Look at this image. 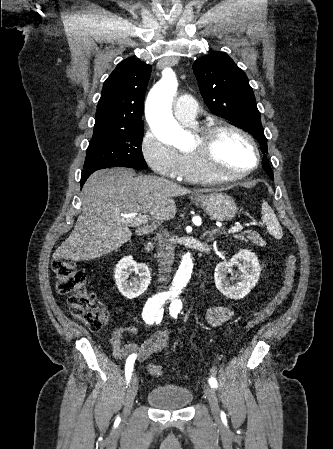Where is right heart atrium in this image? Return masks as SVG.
<instances>
[{
  "instance_id": "d8ad5b80",
  "label": "right heart atrium",
  "mask_w": 333,
  "mask_h": 449,
  "mask_svg": "<svg viewBox=\"0 0 333 449\" xmlns=\"http://www.w3.org/2000/svg\"><path fill=\"white\" fill-rule=\"evenodd\" d=\"M143 159L159 176L179 178L181 156L174 148L160 140L151 131H147L140 144Z\"/></svg>"
}]
</instances>
